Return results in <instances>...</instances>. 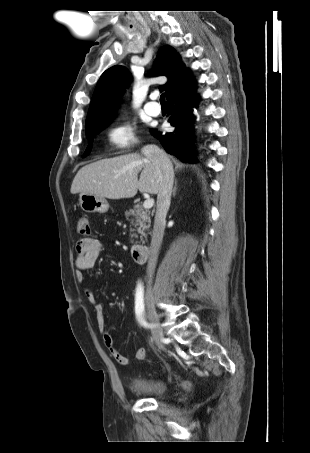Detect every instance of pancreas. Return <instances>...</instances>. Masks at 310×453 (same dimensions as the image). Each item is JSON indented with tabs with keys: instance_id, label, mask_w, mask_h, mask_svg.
<instances>
[{
	"instance_id": "cf45deb5",
	"label": "pancreas",
	"mask_w": 310,
	"mask_h": 453,
	"mask_svg": "<svg viewBox=\"0 0 310 453\" xmlns=\"http://www.w3.org/2000/svg\"><path fill=\"white\" fill-rule=\"evenodd\" d=\"M125 218L130 221L131 239L138 238L137 233L140 234L141 240L147 237L146 231H149L151 226L150 212L148 210L144 209L140 204H136L133 209L125 211Z\"/></svg>"
}]
</instances>
